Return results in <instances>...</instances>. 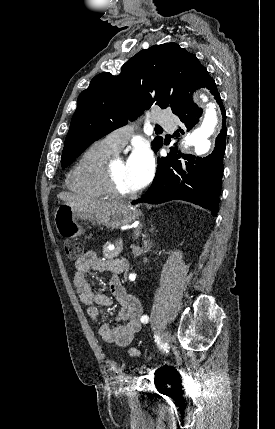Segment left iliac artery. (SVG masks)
I'll list each match as a JSON object with an SVG mask.
<instances>
[{
  "instance_id": "left-iliac-artery-1",
  "label": "left iliac artery",
  "mask_w": 275,
  "mask_h": 429,
  "mask_svg": "<svg viewBox=\"0 0 275 429\" xmlns=\"http://www.w3.org/2000/svg\"><path fill=\"white\" fill-rule=\"evenodd\" d=\"M149 321V317L147 315H144L141 317V322L142 323H147Z\"/></svg>"
}]
</instances>
